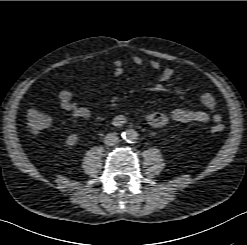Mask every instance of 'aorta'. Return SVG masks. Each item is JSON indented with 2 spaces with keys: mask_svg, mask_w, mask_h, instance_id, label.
Segmentation results:
<instances>
[{
  "mask_svg": "<svg viewBox=\"0 0 247 245\" xmlns=\"http://www.w3.org/2000/svg\"><path fill=\"white\" fill-rule=\"evenodd\" d=\"M122 137L125 141L135 142L138 140L139 134L133 129H128L122 133Z\"/></svg>",
  "mask_w": 247,
  "mask_h": 245,
  "instance_id": "obj_1",
  "label": "aorta"
}]
</instances>
